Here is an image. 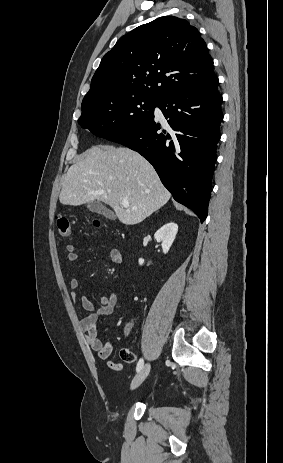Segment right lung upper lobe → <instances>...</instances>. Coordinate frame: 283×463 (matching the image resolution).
Segmentation results:
<instances>
[{"instance_id": "obj_1", "label": "right lung upper lobe", "mask_w": 283, "mask_h": 463, "mask_svg": "<svg viewBox=\"0 0 283 463\" xmlns=\"http://www.w3.org/2000/svg\"><path fill=\"white\" fill-rule=\"evenodd\" d=\"M216 77L200 33L186 20L164 16L121 37L104 55L82 105L111 95L161 100Z\"/></svg>"}]
</instances>
